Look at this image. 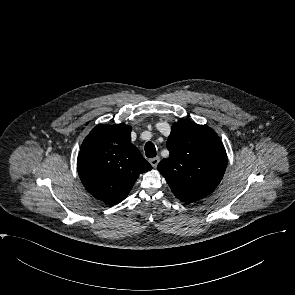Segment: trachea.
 Returning a JSON list of instances; mask_svg holds the SVG:
<instances>
[{"mask_svg":"<svg viewBox=\"0 0 295 295\" xmlns=\"http://www.w3.org/2000/svg\"><path fill=\"white\" fill-rule=\"evenodd\" d=\"M145 154L147 157L152 158L156 156V148L152 142H147L145 144Z\"/></svg>","mask_w":295,"mask_h":295,"instance_id":"3493384b","label":"trachea"}]
</instances>
